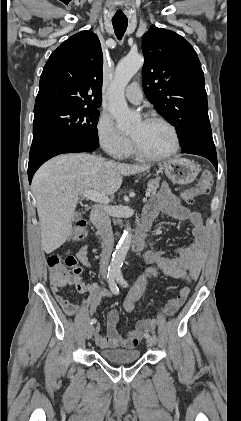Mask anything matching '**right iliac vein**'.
<instances>
[{
  "label": "right iliac vein",
  "mask_w": 241,
  "mask_h": 421,
  "mask_svg": "<svg viewBox=\"0 0 241 421\" xmlns=\"http://www.w3.org/2000/svg\"><path fill=\"white\" fill-rule=\"evenodd\" d=\"M94 331H95L94 326L89 325V326L86 328V338H87V339H91V338H92V336H93V334H94Z\"/></svg>",
  "instance_id": "63e3f726"
}]
</instances>
